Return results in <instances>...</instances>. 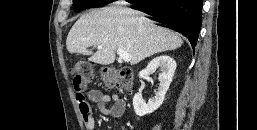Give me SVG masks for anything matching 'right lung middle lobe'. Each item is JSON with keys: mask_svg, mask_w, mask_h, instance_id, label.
<instances>
[{"mask_svg": "<svg viewBox=\"0 0 257 130\" xmlns=\"http://www.w3.org/2000/svg\"><path fill=\"white\" fill-rule=\"evenodd\" d=\"M109 0H73L75 11H81L92 7H101L108 4Z\"/></svg>", "mask_w": 257, "mask_h": 130, "instance_id": "right-lung-middle-lobe-1", "label": "right lung middle lobe"}]
</instances>
